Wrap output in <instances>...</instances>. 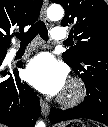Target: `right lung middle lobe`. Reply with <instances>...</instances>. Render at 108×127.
Masks as SVG:
<instances>
[{"mask_svg":"<svg viewBox=\"0 0 108 127\" xmlns=\"http://www.w3.org/2000/svg\"><path fill=\"white\" fill-rule=\"evenodd\" d=\"M5 52H6V50H0V55L5 53Z\"/></svg>","mask_w":108,"mask_h":127,"instance_id":"right-lung-middle-lobe-1","label":"right lung middle lobe"}]
</instances>
